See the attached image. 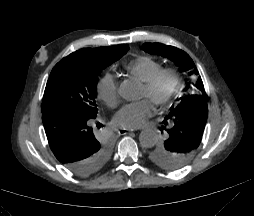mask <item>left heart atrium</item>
Returning a JSON list of instances; mask_svg holds the SVG:
<instances>
[{"label": "left heart atrium", "instance_id": "left-heart-atrium-1", "mask_svg": "<svg viewBox=\"0 0 254 216\" xmlns=\"http://www.w3.org/2000/svg\"><path fill=\"white\" fill-rule=\"evenodd\" d=\"M153 111L149 100H141L125 106L117 117V123L125 128H135L141 125Z\"/></svg>", "mask_w": 254, "mask_h": 216}]
</instances>
